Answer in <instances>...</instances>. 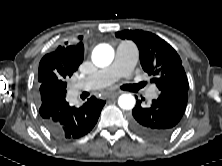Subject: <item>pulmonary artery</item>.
Listing matches in <instances>:
<instances>
[{
  "label": "pulmonary artery",
  "instance_id": "obj_1",
  "mask_svg": "<svg viewBox=\"0 0 222 166\" xmlns=\"http://www.w3.org/2000/svg\"><path fill=\"white\" fill-rule=\"evenodd\" d=\"M137 58L136 48L129 42H122L117 48L112 65L82 80L77 86V90L104 88L121 77H129ZM147 97L149 99L157 97V91L154 86L149 88Z\"/></svg>",
  "mask_w": 222,
  "mask_h": 166
}]
</instances>
